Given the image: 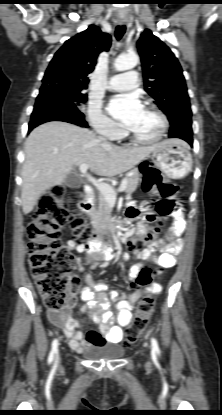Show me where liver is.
<instances>
[{"mask_svg":"<svg viewBox=\"0 0 222 415\" xmlns=\"http://www.w3.org/2000/svg\"><path fill=\"white\" fill-rule=\"evenodd\" d=\"M157 147L122 148L100 141L85 128L52 121L35 128L25 143L22 210L29 214L39 197L61 185L74 166L88 164L96 175L115 176L149 156Z\"/></svg>","mask_w":222,"mask_h":415,"instance_id":"liver-1","label":"liver"}]
</instances>
